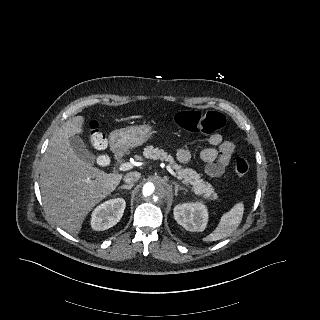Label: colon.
I'll return each instance as SVG.
<instances>
[{"label":"colon","mask_w":320,"mask_h":320,"mask_svg":"<svg viewBox=\"0 0 320 320\" xmlns=\"http://www.w3.org/2000/svg\"><path fill=\"white\" fill-rule=\"evenodd\" d=\"M174 120L181 129L200 133H212L222 129L226 124L224 115L216 111L207 113L195 110L180 111L175 115ZM89 140L96 150H101L106 146L105 135L96 121L91 122L89 125ZM234 170L237 177L244 178L249 172V163L243 157L237 156Z\"/></svg>","instance_id":"colon-1"}]
</instances>
